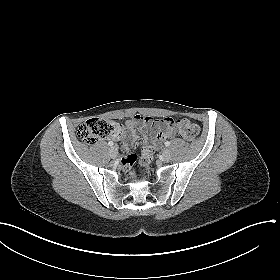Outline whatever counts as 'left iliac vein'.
<instances>
[{
  "label": "left iliac vein",
  "mask_w": 280,
  "mask_h": 280,
  "mask_svg": "<svg viewBox=\"0 0 280 280\" xmlns=\"http://www.w3.org/2000/svg\"><path fill=\"white\" fill-rule=\"evenodd\" d=\"M171 151L169 149H164L162 152V158L164 161L169 162L171 160Z\"/></svg>",
  "instance_id": "left-iliac-vein-1"
}]
</instances>
